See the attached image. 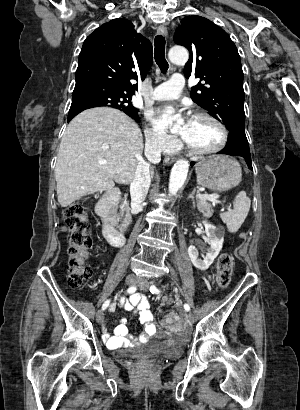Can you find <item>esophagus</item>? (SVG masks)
<instances>
[{
  "label": "esophagus",
  "instance_id": "esophagus-1",
  "mask_svg": "<svg viewBox=\"0 0 300 410\" xmlns=\"http://www.w3.org/2000/svg\"><path fill=\"white\" fill-rule=\"evenodd\" d=\"M157 34L163 35V36H167V35H168V32H167L166 27H164V26H158V27H157ZM164 161H165V163L169 164V163H173V162L175 161V159H174V158H170V157H166Z\"/></svg>",
  "mask_w": 300,
  "mask_h": 410
}]
</instances>
